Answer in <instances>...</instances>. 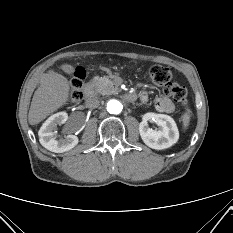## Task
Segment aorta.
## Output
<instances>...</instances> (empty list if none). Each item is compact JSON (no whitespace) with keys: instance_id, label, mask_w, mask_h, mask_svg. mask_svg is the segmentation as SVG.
<instances>
[{"instance_id":"obj_1","label":"aorta","mask_w":233,"mask_h":233,"mask_svg":"<svg viewBox=\"0 0 233 233\" xmlns=\"http://www.w3.org/2000/svg\"><path fill=\"white\" fill-rule=\"evenodd\" d=\"M122 109L123 106L118 100L112 99L107 103V111L110 114H119L122 111Z\"/></svg>"}]
</instances>
